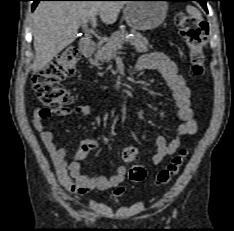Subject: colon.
I'll list each match as a JSON object with an SVG mask.
<instances>
[{"label": "colon", "instance_id": "colon-1", "mask_svg": "<svg viewBox=\"0 0 234 231\" xmlns=\"http://www.w3.org/2000/svg\"><path fill=\"white\" fill-rule=\"evenodd\" d=\"M176 24L181 36L185 40L191 71L196 76H201L205 70V45L208 35V24L187 14H178ZM79 53L75 47L63 49L59 55L40 72L32 77V85L38 98L53 109H61L73 102V95L64 89L61 81L76 74V63ZM186 156V151L181 150L176 154L170 164L157 175V182L162 185L170 183L180 172ZM139 152L135 146L129 145L123 149L122 158L131 163L129 179L140 182L146 178V169L136 163Z\"/></svg>", "mask_w": 234, "mask_h": 231}]
</instances>
